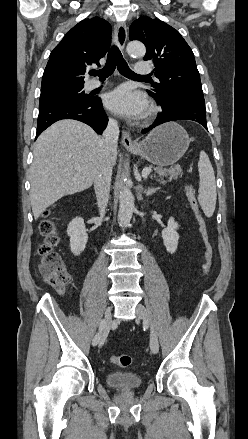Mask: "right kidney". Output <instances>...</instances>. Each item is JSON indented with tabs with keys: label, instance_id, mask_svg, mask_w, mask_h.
I'll return each mask as SVG.
<instances>
[{
	"label": "right kidney",
	"instance_id": "right-kidney-1",
	"mask_svg": "<svg viewBox=\"0 0 248 439\" xmlns=\"http://www.w3.org/2000/svg\"><path fill=\"white\" fill-rule=\"evenodd\" d=\"M67 234L70 237L71 252L75 256L80 255L84 251L88 240L84 220L81 217L74 218L68 225Z\"/></svg>",
	"mask_w": 248,
	"mask_h": 439
}]
</instances>
